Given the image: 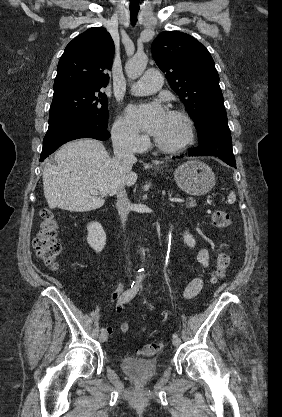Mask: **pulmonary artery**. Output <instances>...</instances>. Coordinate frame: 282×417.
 Returning <instances> with one entry per match:
<instances>
[{
	"label": "pulmonary artery",
	"mask_w": 282,
	"mask_h": 417,
	"mask_svg": "<svg viewBox=\"0 0 282 417\" xmlns=\"http://www.w3.org/2000/svg\"><path fill=\"white\" fill-rule=\"evenodd\" d=\"M163 78L160 70H145L144 75L130 86L129 91L134 95H146L156 92L162 87Z\"/></svg>",
	"instance_id": "e3ab8cb5"
}]
</instances>
